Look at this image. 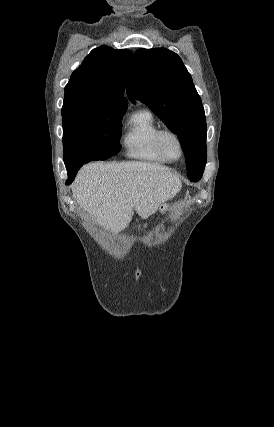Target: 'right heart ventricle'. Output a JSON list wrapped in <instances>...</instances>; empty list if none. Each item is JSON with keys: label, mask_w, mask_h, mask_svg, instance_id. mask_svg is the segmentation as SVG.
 Segmentation results:
<instances>
[{"label": "right heart ventricle", "mask_w": 274, "mask_h": 427, "mask_svg": "<svg viewBox=\"0 0 274 427\" xmlns=\"http://www.w3.org/2000/svg\"><path fill=\"white\" fill-rule=\"evenodd\" d=\"M160 130L153 114L143 109L132 115L128 129L122 136V147L126 157L150 164H164L156 146V136Z\"/></svg>", "instance_id": "1"}]
</instances>
